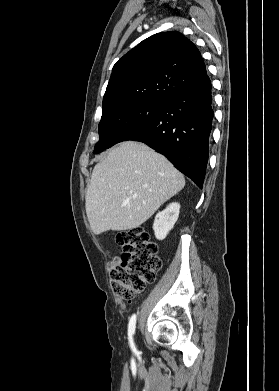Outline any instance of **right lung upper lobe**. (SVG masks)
Wrapping results in <instances>:
<instances>
[{"label":"right lung upper lobe","mask_w":279,"mask_h":391,"mask_svg":"<svg viewBox=\"0 0 279 391\" xmlns=\"http://www.w3.org/2000/svg\"><path fill=\"white\" fill-rule=\"evenodd\" d=\"M207 75L197 47L177 31L143 40L116 62L102 113L136 102H166Z\"/></svg>","instance_id":"obj_1"}]
</instances>
